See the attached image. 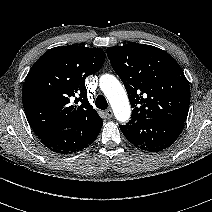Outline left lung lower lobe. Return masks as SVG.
<instances>
[{
	"label": "left lung lower lobe",
	"mask_w": 212,
	"mask_h": 212,
	"mask_svg": "<svg viewBox=\"0 0 212 212\" xmlns=\"http://www.w3.org/2000/svg\"><path fill=\"white\" fill-rule=\"evenodd\" d=\"M184 121L169 118H141L120 125L127 140L134 146L158 152L171 146L179 137Z\"/></svg>",
	"instance_id": "obj_1"
}]
</instances>
